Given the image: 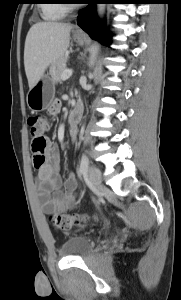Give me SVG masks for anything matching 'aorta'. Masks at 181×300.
Instances as JSON below:
<instances>
[{
	"label": "aorta",
	"instance_id": "aorta-1",
	"mask_svg": "<svg viewBox=\"0 0 181 300\" xmlns=\"http://www.w3.org/2000/svg\"><path fill=\"white\" fill-rule=\"evenodd\" d=\"M104 12H105V4H97V13L101 19L103 18ZM97 51H98V45L95 44L90 49V53H91L90 61H89L90 67L93 65V61L96 57Z\"/></svg>",
	"mask_w": 181,
	"mask_h": 300
}]
</instances>
